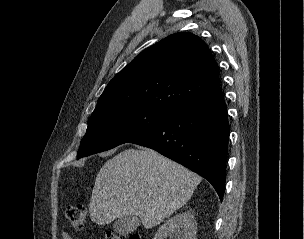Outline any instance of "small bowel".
I'll use <instances>...</instances> for the list:
<instances>
[{
  "mask_svg": "<svg viewBox=\"0 0 304 239\" xmlns=\"http://www.w3.org/2000/svg\"><path fill=\"white\" fill-rule=\"evenodd\" d=\"M61 237L62 239H73L72 236L66 231L61 232Z\"/></svg>",
  "mask_w": 304,
  "mask_h": 239,
  "instance_id": "small-bowel-1",
  "label": "small bowel"
}]
</instances>
